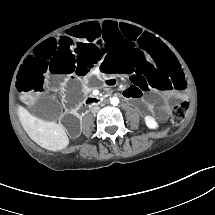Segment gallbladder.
<instances>
[{
	"label": "gallbladder",
	"instance_id": "obj_1",
	"mask_svg": "<svg viewBox=\"0 0 215 215\" xmlns=\"http://www.w3.org/2000/svg\"><path fill=\"white\" fill-rule=\"evenodd\" d=\"M60 113V105L53 97L40 98L34 105V114L39 119L54 121Z\"/></svg>",
	"mask_w": 215,
	"mask_h": 215
}]
</instances>
